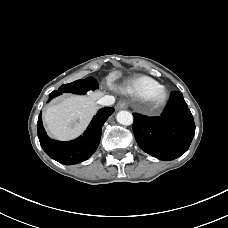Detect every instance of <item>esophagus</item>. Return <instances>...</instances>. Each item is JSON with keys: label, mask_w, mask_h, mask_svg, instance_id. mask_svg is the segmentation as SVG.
I'll return each mask as SVG.
<instances>
[{"label": "esophagus", "mask_w": 228, "mask_h": 228, "mask_svg": "<svg viewBox=\"0 0 228 228\" xmlns=\"http://www.w3.org/2000/svg\"><path fill=\"white\" fill-rule=\"evenodd\" d=\"M127 108V103L125 101H120L117 106H116V109L117 110H122V109H125Z\"/></svg>", "instance_id": "esophagus-1"}]
</instances>
